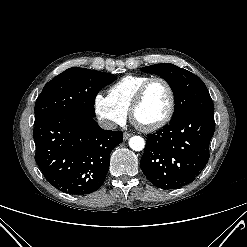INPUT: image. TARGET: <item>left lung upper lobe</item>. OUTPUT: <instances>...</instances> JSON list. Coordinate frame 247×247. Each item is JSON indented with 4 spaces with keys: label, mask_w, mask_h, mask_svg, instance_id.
Returning a JSON list of instances; mask_svg holds the SVG:
<instances>
[{
    "label": "left lung upper lobe",
    "mask_w": 247,
    "mask_h": 247,
    "mask_svg": "<svg viewBox=\"0 0 247 247\" xmlns=\"http://www.w3.org/2000/svg\"><path fill=\"white\" fill-rule=\"evenodd\" d=\"M166 80L175 96L172 121L193 112L214 114V105L203 81L186 69L170 63L155 64L141 69Z\"/></svg>",
    "instance_id": "left-lung-upper-lobe-1"
}]
</instances>
